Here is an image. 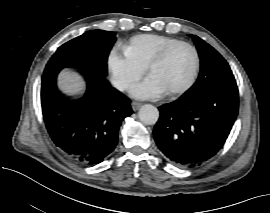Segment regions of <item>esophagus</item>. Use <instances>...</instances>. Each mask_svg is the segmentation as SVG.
I'll list each match as a JSON object with an SVG mask.
<instances>
[{"label": "esophagus", "mask_w": 270, "mask_h": 213, "mask_svg": "<svg viewBox=\"0 0 270 213\" xmlns=\"http://www.w3.org/2000/svg\"><path fill=\"white\" fill-rule=\"evenodd\" d=\"M131 105H132V109L134 111H136V110H138L141 107L142 104L139 103V102H136V101H132Z\"/></svg>", "instance_id": "obj_1"}]
</instances>
